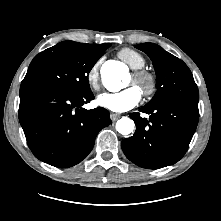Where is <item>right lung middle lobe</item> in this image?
Here are the masks:
<instances>
[{
    "label": "right lung middle lobe",
    "mask_w": 221,
    "mask_h": 221,
    "mask_svg": "<svg viewBox=\"0 0 221 221\" xmlns=\"http://www.w3.org/2000/svg\"><path fill=\"white\" fill-rule=\"evenodd\" d=\"M110 45L60 42L34 57L21 86L47 85L74 94L89 92L88 74Z\"/></svg>",
    "instance_id": "obj_1"
}]
</instances>
